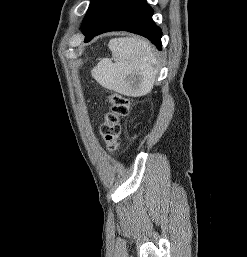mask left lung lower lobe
I'll use <instances>...</instances> for the list:
<instances>
[{"label":"left lung lower lobe","instance_id":"1","mask_svg":"<svg viewBox=\"0 0 247 257\" xmlns=\"http://www.w3.org/2000/svg\"><path fill=\"white\" fill-rule=\"evenodd\" d=\"M146 0H97L82 32L85 42L108 31L126 30L148 38L161 50V29L152 20Z\"/></svg>","mask_w":247,"mask_h":257}]
</instances>
